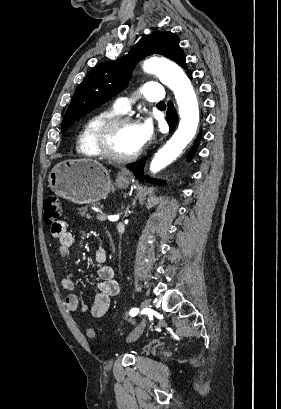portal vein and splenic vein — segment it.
Segmentation results:
<instances>
[{
	"mask_svg": "<svg viewBox=\"0 0 281 409\" xmlns=\"http://www.w3.org/2000/svg\"><path fill=\"white\" fill-rule=\"evenodd\" d=\"M98 219L100 221H105L106 220V215L105 214L104 215H98Z\"/></svg>",
	"mask_w": 281,
	"mask_h": 409,
	"instance_id": "18ae733b",
	"label": "portal vein and splenic vein"
}]
</instances>
